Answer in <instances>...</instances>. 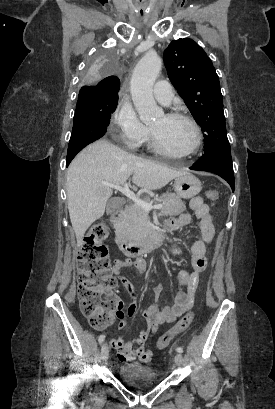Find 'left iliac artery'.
<instances>
[{"label": "left iliac artery", "instance_id": "44dca946", "mask_svg": "<svg viewBox=\"0 0 275 409\" xmlns=\"http://www.w3.org/2000/svg\"><path fill=\"white\" fill-rule=\"evenodd\" d=\"M176 350H177L178 353H182V352H183V348H182V347H178Z\"/></svg>", "mask_w": 275, "mask_h": 409}]
</instances>
